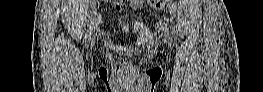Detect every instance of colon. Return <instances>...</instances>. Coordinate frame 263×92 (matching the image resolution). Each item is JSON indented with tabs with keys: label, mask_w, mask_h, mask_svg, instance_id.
Listing matches in <instances>:
<instances>
[{
	"label": "colon",
	"mask_w": 263,
	"mask_h": 92,
	"mask_svg": "<svg viewBox=\"0 0 263 92\" xmlns=\"http://www.w3.org/2000/svg\"><path fill=\"white\" fill-rule=\"evenodd\" d=\"M135 2V1H134ZM149 2H151L152 4H154V7L155 8H161L164 4H166V3H169V2H171V1H168V0H151V1H149Z\"/></svg>",
	"instance_id": "colon-1"
}]
</instances>
